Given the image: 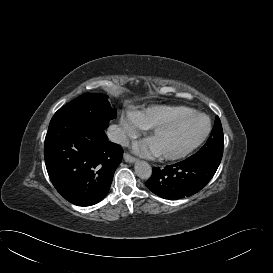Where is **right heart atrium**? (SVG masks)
<instances>
[{"mask_svg": "<svg viewBox=\"0 0 273 273\" xmlns=\"http://www.w3.org/2000/svg\"><path fill=\"white\" fill-rule=\"evenodd\" d=\"M120 128L124 136L131 137L137 132V127L129 117H122Z\"/></svg>", "mask_w": 273, "mask_h": 273, "instance_id": "d8ad5b80", "label": "right heart atrium"}]
</instances>
